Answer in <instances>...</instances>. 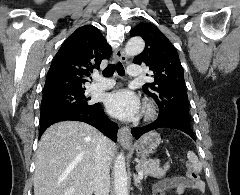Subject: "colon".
<instances>
[{"label": "colon", "instance_id": "5ec220e1", "mask_svg": "<svg viewBox=\"0 0 240 195\" xmlns=\"http://www.w3.org/2000/svg\"><path fill=\"white\" fill-rule=\"evenodd\" d=\"M186 164L190 165L191 161L187 160ZM186 175L190 176L191 179L195 180V183L197 180V187H202V180H198V172L195 171L194 168H191V166H186Z\"/></svg>", "mask_w": 240, "mask_h": 195}]
</instances>
